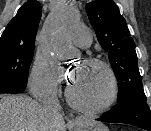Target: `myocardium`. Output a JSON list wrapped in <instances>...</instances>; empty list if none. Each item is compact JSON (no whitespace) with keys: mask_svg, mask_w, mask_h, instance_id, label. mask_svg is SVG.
Here are the masks:
<instances>
[{"mask_svg":"<svg viewBox=\"0 0 151 131\" xmlns=\"http://www.w3.org/2000/svg\"><path fill=\"white\" fill-rule=\"evenodd\" d=\"M84 66H98L102 68L109 79V92L107 97L100 103L91 105L84 103L73 95L70 87L66 89V98L69 104L75 109L89 114H100L109 110L116 102L119 94V86L116 74L112 67L105 61L98 58H88L82 63Z\"/></svg>","mask_w":151,"mask_h":131,"instance_id":"obj_1","label":"myocardium"}]
</instances>
